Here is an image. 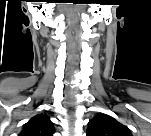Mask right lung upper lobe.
Wrapping results in <instances>:
<instances>
[{
  "instance_id": "1",
  "label": "right lung upper lobe",
  "mask_w": 151,
  "mask_h": 136,
  "mask_svg": "<svg viewBox=\"0 0 151 136\" xmlns=\"http://www.w3.org/2000/svg\"><path fill=\"white\" fill-rule=\"evenodd\" d=\"M54 127L46 114H38L23 127L20 136H53Z\"/></svg>"
}]
</instances>
